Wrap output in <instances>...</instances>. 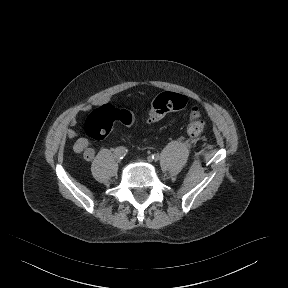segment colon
<instances>
[{
  "mask_svg": "<svg viewBox=\"0 0 288 288\" xmlns=\"http://www.w3.org/2000/svg\"><path fill=\"white\" fill-rule=\"evenodd\" d=\"M187 104L186 98L179 93H164L157 97L149 108L148 122L155 123L162 120L169 113L182 110ZM115 120L126 125H133L135 117L127 110H120L110 105H102L94 109L86 119L85 132L94 141L104 140L114 127ZM204 129V121L198 107L189 110L187 133L191 136L199 135ZM92 152L84 153L83 158L89 160Z\"/></svg>",
  "mask_w": 288,
  "mask_h": 288,
  "instance_id": "1",
  "label": "colon"
}]
</instances>
